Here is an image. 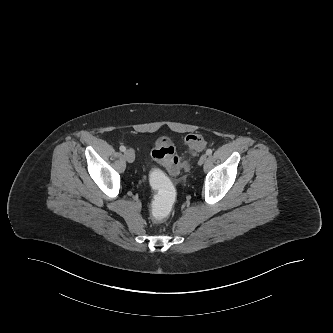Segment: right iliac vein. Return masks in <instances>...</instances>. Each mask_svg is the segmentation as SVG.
I'll list each match as a JSON object with an SVG mask.
<instances>
[{
  "instance_id": "1",
  "label": "right iliac vein",
  "mask_w": 333,
  "mask_h": 333,
  "mask_svg": "<svg viewBox=\"0 0 333 333\" xmlns=\"http://www.w3.org/2000/svg\"><path fill=\"white\" fill-rule=\"evenodd\" d=\"M124 157L129 163H132L135 160V153L132 149H127L124 152Z\"/></svg>"
}]
</instances>
